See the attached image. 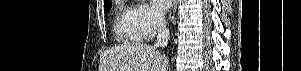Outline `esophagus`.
<instances>
[{"label":"esophagus","instance_id":"esophagus-1","mask_svg":"<svg viewBox=\"0 0 301 71\" xmlns=\"http://www.w3.org/2000/svg\"><path fill=\"white\" fill-rule=\"evenodd\" d=\"M177 2H178V0L173 1L172 9L169 14V20L171 23H174L175 13H176V9H177Z\"/></svg>","mask_w":301,"mask_h":71}]
</instances>
